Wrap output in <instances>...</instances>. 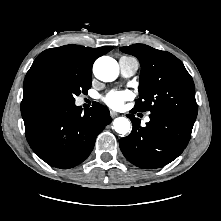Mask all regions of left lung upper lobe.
<instances>
[{
    "instance_id": "1",
    "label": "left lung upper lobe",
    "mask_w": 221,
    "mask_h": 221,
    "mask_svg": "<svg viewBox=\"0 0 221 221\" xmlns=\"http://www.w3.org/2000/svg\"><path fill=\"white\" fill-rule=\"evenodd\" d=\"M120 50L137 57L141 64L139 99L135 110L196 120L198 107L194 82L177 57L145 44L121 47Z\"/></svg>"
}]
</instances>
